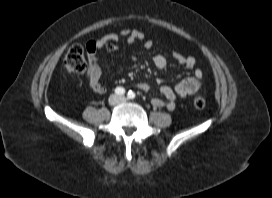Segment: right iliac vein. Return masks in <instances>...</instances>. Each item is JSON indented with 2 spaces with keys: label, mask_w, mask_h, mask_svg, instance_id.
Segmentation results:
<instances>
[{
  "label": "right iliac vein",
  "mask_w": 272,
  "mask_h": 198,
  "mask_svg": "<svg viewBox=\"0 0 272 198\" xmlns=\"http://www.w3.org/2000/svg\"><path fill=\"white\" fill-rule=\"evenodd\" d=\"M110 103L112 104V105H115V104H117L118 102H119V97L118 96H116V95H113V96H111V98H110Z\"/></svg>",
  "instance_id": "63e3f726"
}]
</instances>
